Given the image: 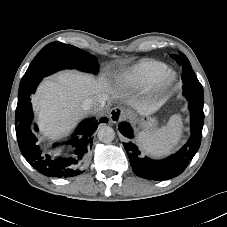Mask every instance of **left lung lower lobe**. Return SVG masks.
<instances>
[{"label":"left lung lower lobe","mask_w":227,"mask_h":227,"mask_svg":"<svg viewBox=\"0 0 227 227\" xmlns=\"http://www.w3.org/2000/svg\"><path fill=\"white\" fill-rule=\"evenodd\" d=\"M191 114V135L187 143L177 153L163 160H151L141 157L137 146L129 141L124 144L130 164L136 175L149 180H167L181 174L189 161L198 151L201 143L204 122L203 104L204 96L187 95ZM119 131L128 138H133V131L128 123H121Z\"/></svg>","instance_id":"1"}]
</instances>
